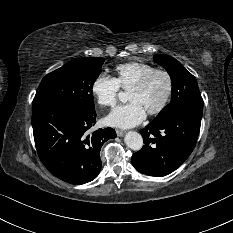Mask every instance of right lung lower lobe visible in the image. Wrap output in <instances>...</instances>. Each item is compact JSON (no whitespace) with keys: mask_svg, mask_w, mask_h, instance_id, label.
I'll list each match as a JSON object with an SVG mask.
<instances>
[{"mask_svg":"<svg viewBox=\"0 0 233 233\" xmlns=\"http://www.w3.org/2000/svg\"><path fill=\"white\" fill-rule=\"evenodd\" d=\"M96 112L87 113L67 106L32 107V126L38 156L57 178L83 184L94 180L102 167L99 153L108 139L116 137L114 129L90 128Z\"/></svg>","mask_w":233,"mask_h":233,"instance_id":"1","label":"right lung lower lobe"}]
</instances>
